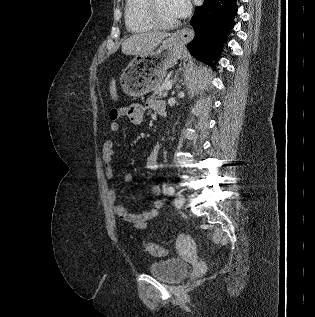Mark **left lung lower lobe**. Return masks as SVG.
Returning a JSON list of instances; mask_svg holds the SVG:
<instances>
[{
	"label": "left lung lower lobe",
	"instance_id": "left-lung-lower-lobe-1",
	"mask_svg": "<svg viewBox=\"0 0 315 317\" xmlns=\"http://www.w3.org/2000/svg\"><path fill=\"white\" fill-rule=\"evenodd\" d=\"M236 13V0H205L191 19L195 37L187 45L190 53L213 64L211 61H216L229 29L233 28Z\"/></svg>",
	"mask_w": 315,
	"mask_h": 317
}]
</instances>
